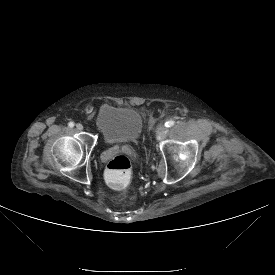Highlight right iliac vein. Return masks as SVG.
I'll return each instance as SVG.
<instances>
[{"mask_svg":"<svg viewBox=\"0 0 275 275\" xmlns=\"http://www.w3.org/2000/svg\"><path fill=\"white\" fill-rule=\"evenodd\" d=\"M76 128H77L78 130H83V125H82L81 123H77V124H76Z\"/></svg>","mask_w":275,"mask_h":275,"instance_id":"1","label":"right iliac vein"}]
</instances>
